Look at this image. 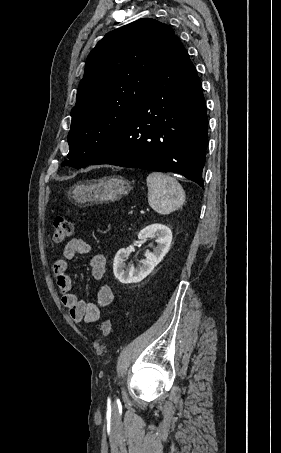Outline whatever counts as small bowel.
I'll return each mask as SVG.
<instances>
[{"mask_svg":"<svg viewBox=\"0 0 281 453\" xmlns=\"http://www.w3.org/2000/svg\"><path fill=\"white\" fill-rule=\"evenodd\" d=\"M90 252L89 243L83 238H72L66 245L63 257L53 263V274L62 294V303L68 309L72 321L75 323L100 320L101 310L113 301V292L105 285L97 291L96 302H83L72 293V279L69 274L68 260L76 254ZM90 275L95 281H102L106 275L105 257L102 254H93L89 259Z\"/></svg>","mask_w":281,"mask_h":453,"instance_id":"small-bowel-1","label":"small bowel"}]
</instances>
